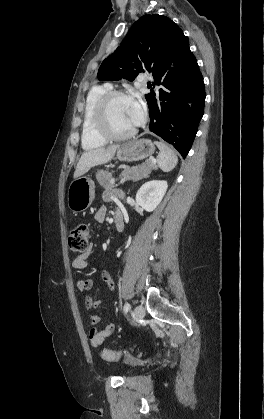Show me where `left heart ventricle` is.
I'll return each instance as SVG.
<instances>
[{
  "label": "left heart ventricle",
  "instance_id": "1",
  "mask_svg": "<svg viewBox=\"0 0 264 419\" xmlns=\"http://www.w3.org/2000/svg\"><path fill=\"white\" fill-rule=\"evenodd\" d=\"M110 123L114 131L125 132L134 128L130 117V98H116L109 107Z\"/></svg>",
  "mask_w": 264,
  "mask_h": 419
}]
</instances>
